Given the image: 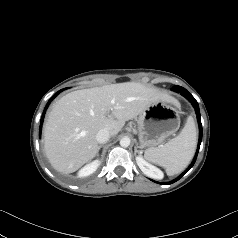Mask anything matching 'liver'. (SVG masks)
<instances>
[{
  "mask_svg": "<svg viewBox=\"0 0 238 238\" xmlns=\"http://www.w3.org/2000/svg\"><path fill=\"white\" fill-rule=\"evenodd\" d=\"M174 99L136 82L104 85L70 92L52 107L44 126V149L52 166L72 173L98 153L96 134L107 129L116 136L126 121L157 101Z\"/></svg>",
  "mask_w": 238,
  "mask_h": 238,
  "instance_id": "6515ba94",
  "label": "liver"
}]
</instances>
